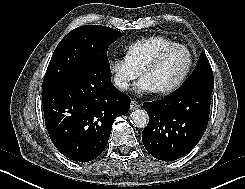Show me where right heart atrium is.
Segmentation results:
<instances>
[{"label":"right heart atrium","instance_id":"1","mask_svg":"<svg viewBox=\"0 0 245 189\" xmlns=\"http://www.w3.org/2000/svg\"><path fill=\"white\" fill-rule=\"evenodd\" d=\"M109 70L114 85L122 91L128 90L140 74L126 56L110 60Z\"/></svg>","mask_w":245,"mask_h":189}]
</instances>
